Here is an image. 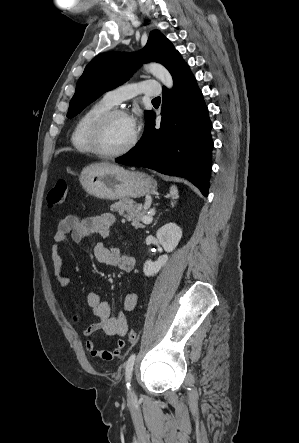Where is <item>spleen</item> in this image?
Segmentation results:
<instances>
[{"instance_id":"spleen-1","label":"spleen","mask_w":299,"mask_h":443,"mask_svg":"<svg viewBox=\"0 0 299 443\" xmlns=\"http://www.w3.org/2000/svg\"><path fill=\"white\" fill-rule=\"evenodd\" d=\"M170 196L172 197L173 200H176L179 196H178V190L176 186H171L170 188ZM175 202H172L171 205L174 206Z\"/></svg>"}]
</instances>
